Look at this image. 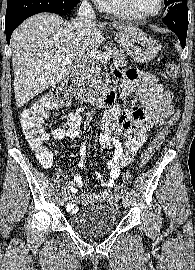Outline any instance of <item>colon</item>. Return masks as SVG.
<instances>
[{"instance_id":"colon-1","label":"colon","mask_w":195,"mask_h":270,"mask_svg":"<svg viewBox=\"0 0 195 270\" xmlns=\"http://www.w3.org/2000/svg\"><path fill=\"white\" fill-rule=\"evenodd\" d=\"M166 73L173 81H176L179 77V69L173 63L166 65ZM75 86L76 85L73 81H68L60 86L55 87L39 102L24 110L21 115L20 124L23 133L30 146L37 150L40 161L45 165L51 164L53 154L44 146L47 135L42 128L43 118L47 116L49 112L57 111L67 106L71 100L72 94L75 91ZM178 120L179 112L177 111L168 120L165 128L152 141V144L145 150L140 167H144L149 162L155 150L161 146L177 124ZM123 190V186L115 187L114 196L119 197Z\"/></svg>"}]
</instances>
